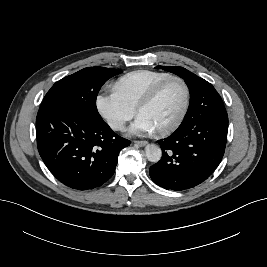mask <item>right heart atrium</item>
<instances>
[{
  "label": "right heart atrium",
  "instance_id": "1",
  "mask_svg": "<svg viewBox=\"0 0 267 267\" xmlns=\"http://www.w3.org/2000/svg\"><path fill=\"white\" fill-rule=\"evenodd\" d=\"M96 108L100 116L116 131L123 130L135 114V108L114 90L98 94Z\"/></svg>",
  "mask_w": 267,
  "mask_h": 267
}]
</instances>
